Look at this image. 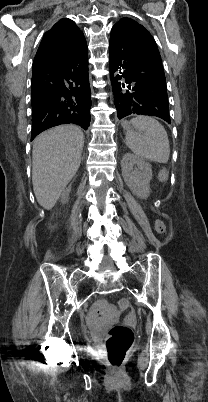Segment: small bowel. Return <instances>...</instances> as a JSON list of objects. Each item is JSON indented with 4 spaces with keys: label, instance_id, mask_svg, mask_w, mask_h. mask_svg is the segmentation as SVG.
I'll use <instances>...</instances> for the list:
<instances>
[{
    "label": "small bowel",
    "instance_id": "1",
    "mask_svg": "<svg viewBox=\"0 0 208 402\" xmlns=\"http://www.w3.org/2000/svg\"><path fill=\"white\" fill-rule=\"evenodd\" d=\"M96 308L101 311L99 318L97 315H95V311L93 309H88L86 311V316L88 317L89 321L87 327L89 330L103 329L105 324H107L110 321V318L114 315L113 310L108 309V304L106 302L96 304Z\"/></svg>",
    "mask_w": 208,
    "mask_h": 402
}]
</instances>
